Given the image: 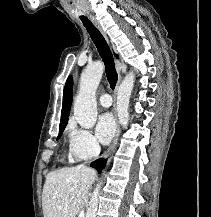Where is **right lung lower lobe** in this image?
Masks as SVG:
<instances>
[{
  "instance_id": "obj_1",
  "label": "right lung lower lobe",
  "mask_w": 211,
  "mask_h": 217,
  "mask_svg": "<svg viewBox=\"0 0 211 217\" xmlns=\"http://www.w3.org/2000/svg\"><path fill=\"white\" fill-rule=\"evenodd\" d=\"M105 164V159H98L91 163V167L95 168L99 173H101L102 169L105 167Z\"/></svg>"
}]
</instances>
